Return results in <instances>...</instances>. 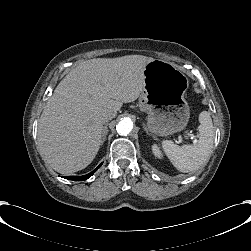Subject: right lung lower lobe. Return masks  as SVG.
Returning <instances> with one entry per match:
<instances>
[{
	"instance_id": "right-lung-lower-lobe-1",
	"label": "right lung lower lobe",
	"mask_w": 251,
	"mask_h": 251,
	"mask_svg": "<svg viewBox=\"0 0 251 251\" xmlns=\"http://www.w3.org/2000/svg\"><path fill=\"white\" fill-rule=\"evenodd\" d=\"M102 165V163L97 167L95 168L92 172L86 174V175H83V176H64L63 178H66V179H69V180H74V181H83V180H86L88 179L89 177H91L94 172Z\"/></svg>"
}]
</instances>
